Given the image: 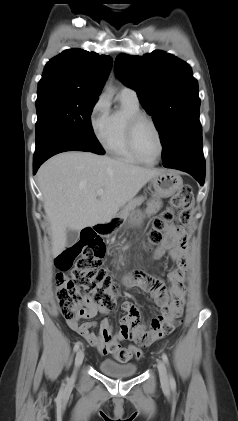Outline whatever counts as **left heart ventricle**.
<instances>
[{"label":"left heart ventricle","mask_w":238,"mask_h":421,"mask_svg":"<svg viewBox=\"0 0 238 421\" xmlns=\"http://www.w3.org/2000/svg\"><path fill=\"white\" fill-rule=\"evenodd\" d=\"M135 145L139 155L146 161H153L159 153L157 134L146 120L141 121L137 127Z\"/></svg>","instance_id":"b2bd125f"}]
</instances>
